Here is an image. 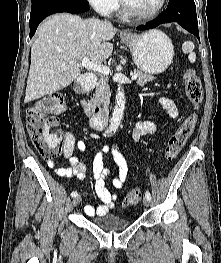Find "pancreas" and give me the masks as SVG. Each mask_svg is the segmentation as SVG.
<instances>
[{"mask_svg": "<svg viewBox=\"0 0 221 263\" xmlns=\"http://www.w3.org/2000/svg\"><path fill=\"white\" fill-rule=\"evenodd\" d=\"M134 74L138 75L137 84L144 86L147 82L152 81L154 76L145 73L141 70H135ZM109 79L107 77L101 76L96 84V91L93 98L95 104H100L106 108L110 101V89L108 84Z\"/></svg>", "mask_w": 221, "mask_h": 263, "instance_id": "1", "label": "pancreas"}]
</instances>
